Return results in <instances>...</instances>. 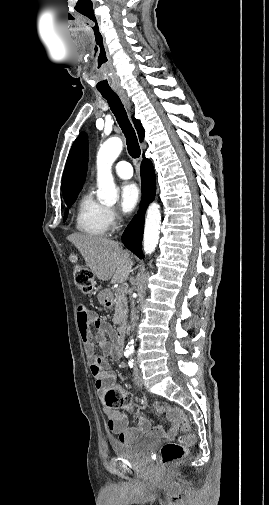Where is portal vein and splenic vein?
Masks as SVG:
<instances>
[{"label":"portal vein and splenic vein","instance_id":"1","mask_svg":"<svg viewBox=\"0 0 269 505\" xmlns=\"http://www.w3.org/2000/svg\"><path fill=\"white\" fill-rule=\"evenodd\" d=\"M117 290H118V292H120V291H122L123 289H122V288H118Z\"/></svg>","mask_w":269,"mask_h":505}]
</instances>
